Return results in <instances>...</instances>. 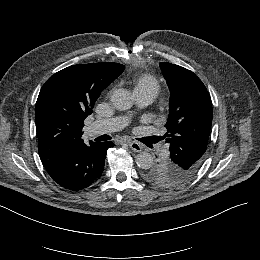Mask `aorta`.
<instances>
[{"instance_id":"aorta-1","label":"aorta","mask_w":260,"mask_h":260,"mask_svg":"<svg viewBox=\"0 0 260 260\" xmlns=\"http://www.w3.org/2000/svg\"><path fill=\"white\" fill-rule=\"evenodd\" d=\"M111 102L119 111H125L132 107L133 100L131 94L124 89H117L111 96ZM136 164L141 169H147L153 165V156L149 152H141L136 156Z\"/></svg>"}]
</instances>
